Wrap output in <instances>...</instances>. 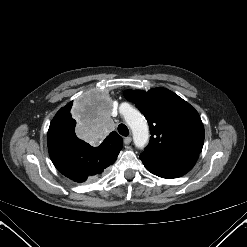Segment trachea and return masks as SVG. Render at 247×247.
Here are the masks:
<instances>
[{"label": "trachea", "mask_w": 247, "mask_h": 247, "mask_svg": "<svg viewBox=\"0 0 247 247\" xmlns=\"http://www.w3.org/2000/svg\"><path fill=\"white\" fill-rule=\"evenodd\" d=\"M118 132L122 135V136H128L129 135V130L127 128L126 125L124 124H120L118 126Z\"/></svg>", "instance_id": "obj_1"}]
</instances>
